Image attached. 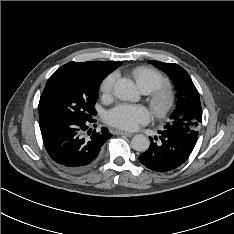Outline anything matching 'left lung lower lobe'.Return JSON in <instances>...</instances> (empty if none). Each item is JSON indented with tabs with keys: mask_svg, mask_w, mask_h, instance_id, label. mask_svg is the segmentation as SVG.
<instances>
[{
	"mask_svg": "<svg viewBox=\"0 0 234 234\" xmlns=\"http://www.w3.org/2000/svg\"><path fill=\"white\" fill-rule=\"evenodd\" d=\"M157 137H150L149 149L139 156V161L147 168L157 172H167L182 165L191 154L196 142L185 134L164 129Z\"/></svg>",
	"mask_w": 234,
	"mask_h": 234,
	"instance_id": "obj_1",
	"label": "left lung lower lobe"
}]
</instances>
